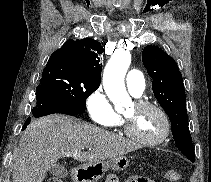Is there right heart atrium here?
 Wrapping results in <instances>:
<instances>
[{
    "label": "right heart atrium",
    "mask_w": 211,
    "mask_h": 182,
    "mask_svg": "<svg viewBox=\"0 0 211 182\" xmlns=\"http://www.w3.org/2000/svg\"><path fill=\"white\" fill-rule=\"evenodd\" d=\"M86 109L90 119L101 126H114L120 117L102 87L96 88L86 99Z\"/></svg>",
    "instance_id": "obj_1"
}]
</instances>
